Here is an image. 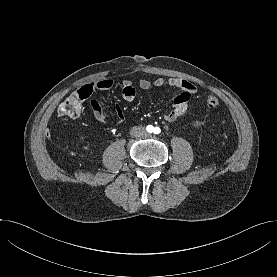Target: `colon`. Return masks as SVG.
<instances>
[{
  "instance_id": "5ec220e1",
  "label": "colon",
  "mask_w": 277,
  "mask_h": 277,
  "mask_svg": "<svg viewBox=\"0 0 277 277\" xmlns=\"http://www.w3.org/2000/svg\"><path fill=\"white\" fill-rule=\"evenodd\" d=\"M89 98V93L84 90H78L68 96L58 107V114L65 117H79L83 111V103ZM209 108H215L219 104V99L214 94H208L205 99Z\"/></svg>"
}]
</instances>
